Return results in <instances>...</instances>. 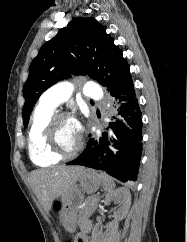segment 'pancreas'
Masks as SVG:
<instances>
[{
	"label": "pancreas",
	"mask_w": 187,
	"mask_h": 242,
	"mask_svg": "<svg viewBox=\"0 0 187 242\" xmlns=\"http://www.w3.org/2000/svg\"><path fill=\"white\" fill-rule=\"evenodd\" d=\"M99 197L96 195L89 196L81 209L80 215L91 216L97 208Z\"/></svg>",
	"instance_id": "pancreas-1"
}]
</instances>
